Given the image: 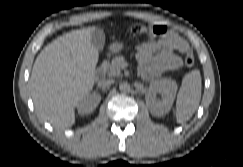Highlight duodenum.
Here are the masks:
<instances>
[{"mask_svg": "<svg viewBox=\"0 0 243 167\" xmlns=\"http://www.w3.org/2000/svg\"><path fill=\"white\" fill-rule=\"evenodd\" d=\"M110 55L108 54L107 57H109ZM104 72H105V69L103 67V65H100L96 68L95 72H94V77H95V80L97 82H101L103 81L104 79Z\"/></svg>", "mask_w": 243, "mask_h": 167, "instance_id": "duodenum-1", "label": "duodenum"}]
</instances>
